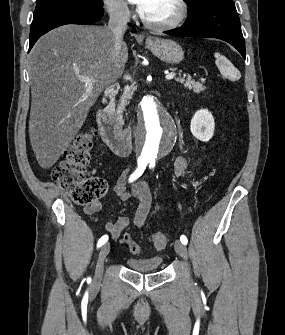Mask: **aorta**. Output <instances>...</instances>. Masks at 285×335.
I'll return each mask as SVG.
<instances>
[{"label": "aorta", "instance_id": "obj_1", "mask_svg": "<svg viewBox=\"0 0 285 335\" xmlns=\"http://www.w3.org/2000/svg\"><path fill=\"white\" fill-rule=\"evenodd\" d=\"M140 125L133 128L137 137L136 146L140 147L141 160H163L173 152L180 137L177 119H171L162 95H150L149 91L138 102Z\"/></svg>", "mask_w": 285, "mask_h": 335}]
</instances>
